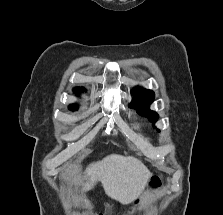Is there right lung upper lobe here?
Listing matches in <instances>:
<instances>
[{
    "label": "right lung upper lobe",
    "instance_id": "cb5924a9",
    "mask_svg": "<svg viewBox=\"0 0 223 215\" xmlns=\"http://www.w3.org/2000/svg\"><path fill=\"white\" fill-rule=\"evenodd\" d=\"M83 91H84V88H80V87H78V88H76V89L74 90V92H75L76 94L79 93V92H83ZM70 109H71V110H75L76 107L73 106V105H71V106H70Z\"/></svg>",
    "mask_w": 223,
    "mask_h": 215
}]
</instances>
